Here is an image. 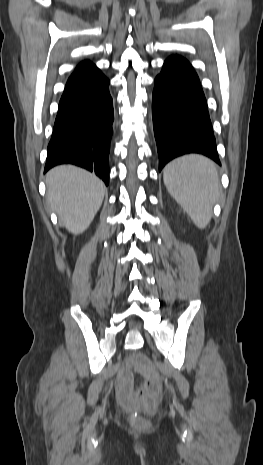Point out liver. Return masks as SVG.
Listing matches in <instances>:
<instances>
[{
	"instance_id": "1",
	"label": "liver",
	"mask_w": 263,
	"mask_h": 465,
	"mask_svg": "<svg viewBox=\"0 0 263 465\" xmlns=\"http://www.w3.org/2000/svg\"><path fill=\"white\" fill-rule=\"evenodd\" d=\"M46 185L49 204L61 225L74 235L83 233L102 205L104 183L84 169L61 165L47 173Z\"/></svg>"
}]
</instances>
